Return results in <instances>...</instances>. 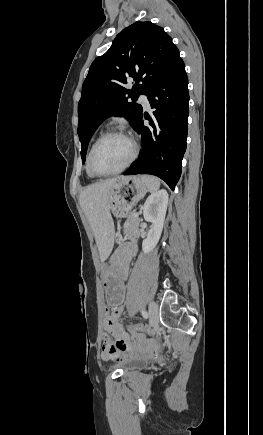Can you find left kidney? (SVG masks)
Here are the masks:
<instances>
[{
	"label": "left kidney",
	"mask_w": 263,
	"mask_h": 435,
	"mask_svg": "<svg viewBox=\"0 0 263 435\" xmlns=\"http://www.w3.org/2000/svg\"><path fill=\"white\" fill-rule=\"evenodd\" d=\"M168 192L165 189L152 193L144 203V219L152 223L147 237L142 242L144 253L151 252L157 245L164 226V220L168 205Z\"/></svg>",
	"instance_id": "obj_1"
}]
</instances>
